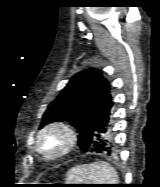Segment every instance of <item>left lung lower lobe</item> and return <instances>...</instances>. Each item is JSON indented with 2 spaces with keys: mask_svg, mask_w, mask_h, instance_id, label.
I'll return each mask as SVG.
<instances>
[{
  "mask_svg": "<svg viewBox=\"0 0 160 187\" xmlns=\"http://www.w3.org/2000/svg\"><path fill=\"white\" fill-rule=\"evenodd\" d=\"M112 102L106 107L92 133L84 136L86 144H90L88 151H95L97 153L108 152L110 154L113 149V142L109 137V115Z\"/></svg>",
  "mask_w": 160,
  "mask_h": 187,
  "instance_id": "obj_1",
  "label": "left lung lower lobe"
}]
</instances>
